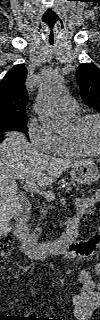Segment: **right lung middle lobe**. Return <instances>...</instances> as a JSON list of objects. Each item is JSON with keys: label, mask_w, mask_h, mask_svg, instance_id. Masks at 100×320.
I'll use <instances>...</instances> for the list:
<instances>
[{"label": "right lung middle lobe", "mask_w": 100, "mask_h": 320, "mask_svg": "<svg viewBox=\"0 0 100 320\" xmlns=\"http://www.w3.org/2000/svg\"><path fill=\"white\" fill-rule=\"evenodd\" d=\"M27 117H16L0 120V134L8 131H18L28 136Z\"/></svg>", "instance_id": "1"}]
</instances>
